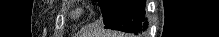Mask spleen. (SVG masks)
<instances>
[{
  "mask_svg": "<svg viewBox=\"0 0 219 37\" xmlns=\"http://www.w3.org/2000/svg\"><path fill=\"white\" fill-rule=\"evenodd\" d=\"M108 37H128V36H124L123 34L120 33H110Z\"/></svg>",
  "mask_w": 219,
  "mask_h": 37,
  "instance_id": "1",
  "label": "spleen"
}]
</instances>
